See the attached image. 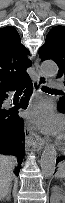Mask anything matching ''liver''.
I'll return each instance as SVG.
<instances>
[{
    "label": "liver",
    "mask_w": 65,
    "mask_h": 203,
    "mask_svg": "<svg viewBox=\"0 0 65 203\" xmlns=\"http://www.w3.org/2000/svg\"><path fill=\"white\" fill-rule=\"evenodd\" d=\"M17 164L13 156L0 155V199L5 198L11 191L12 171Z\"/></svg>",
    "instance_id": "6515ba94"
}]
</instances>
